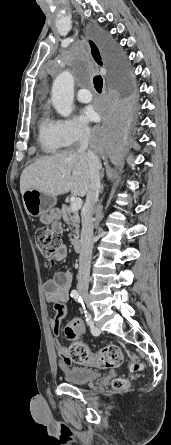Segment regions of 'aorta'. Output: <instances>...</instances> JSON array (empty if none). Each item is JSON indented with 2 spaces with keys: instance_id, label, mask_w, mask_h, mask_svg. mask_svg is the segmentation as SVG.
I'll return each mask as SVG.
<instances>
[{
  "instance_id": "aorta-1",
  "label": "aorta",
  "mask_w": 171,
  "mask_h": 445,
  "mask_svg": "<svg viewBox=\"0 0 171 445\" xmlns=\"http://www.w3.org/2000/svg\"><path fill=\"white\" fill-rule=\"evenodd\" d=\"M74 79L69 71H63L52 86V104L58 114L69 117L73 110Z\"/></svg>"
}]
</instances>
